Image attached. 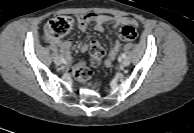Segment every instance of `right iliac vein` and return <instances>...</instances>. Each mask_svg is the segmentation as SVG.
I'll list each match as a JSON object with an SVG mask.
<instances>
[{"instance_id": "obj_1", "label": "right iliac vein", "mask_w": 194, "mask_h": 133, "mask_svg": "<svg viewBox=\"0 0 194 133\" xmlns=\"http://www.w3.org/2000/svg\"><path fill=\"white\" fill-rule=\"evenodd\" d=\"M54 62L56 65H61L62 64V60L59 57H55Z\"/></svg>"}]
</instances>
